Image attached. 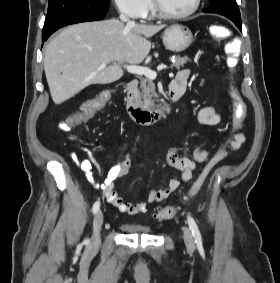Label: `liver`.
<instances>
[{"label":"liver","instance_id":"liver-1","mask_svg":"<svg viewBox=\"0 0 280 283\" xmlns=\"http://www.w3.org/2000/svg\"><path fill=\"white\" fill-rule=\"evenodd\" d=\"M165 25H124L117 19L86 22L63 29L46 47L44 71L55 104L91 84L123 76L116 63L139 64L149 54V37ZM106 63L105 67H101Z\"/></svg>","mask_w":280,"mask_h":283}]
</instances>
